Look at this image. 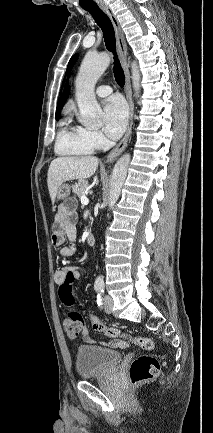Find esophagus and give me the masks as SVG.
Instances as JSON below:
<instances>
[{"label": "esophagus", "instance_id": "34e87169", "mask_svg": "<svg viewBox=\"0 0 213 433\" xmlns=\"http://www.w3.org/2000/svg\"><path fill=\"white\" fill-rule=\"evenodd\" d=\"M100 8L108 15V17L110 18L112 25L114 27L119 58H120V61H121V64H122V67L124 70V74H125V81H126L125 93H126V98H127L128 104H129V116H128V123H127V129H126L125 135L122 138V140L119 142V144L113 150H111V152L107 156V160H106L107 163H112L125 150V148L127 147L129 138L131 137L134 106H133V101H132L130 74H129V68H128V63H127V46H126V43L124 40V36H123L122 30H121L119 21H118L116 15L114 14V12L107 5L101 4Z\"/></svg>", "mask_w": 213, "mask_h": 433}]
</instances>
